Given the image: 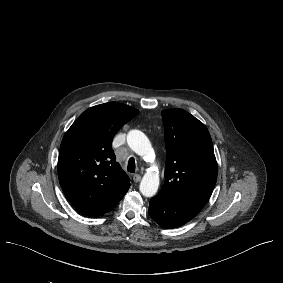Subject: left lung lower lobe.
<instances>
[{
    "mask_svg": "<svg viewBox=\"0 0 283 283\" xmlns=\"http://www.w3.org/2000/svg\"><path fill=\"white\" fill-rule=\"evenodd\" d=\"M202 208L199 204L158 193L150 200L149 215L161 227L171 229L193 219Z\"/></svg>",
    "mask_w": 283,
    "mask_h": 283,
    "instance_id": "left-lung-lower-lobe-1",
    "label": "left lung lower lobe"
}]
</instances>
